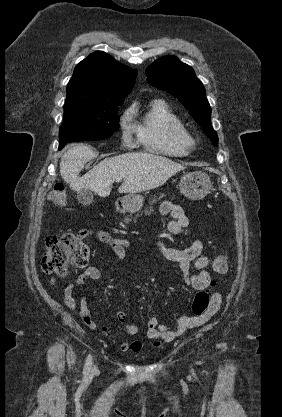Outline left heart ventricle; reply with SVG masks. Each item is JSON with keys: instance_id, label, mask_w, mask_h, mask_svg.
<instances>
[{"instance_id": "left-heart-ventricle-1", "label": "left heart ventricle", "mask_w": 282, "mask_h": 417, "mask_svg": "<svg viewBox=\"0 0 282 417\" xmlns=\"http://www.w3.org/2000/svg\"><path fill=\"white\" fill-rule=\"evenodd\" d=\"M165 130L166 131H170L171 130V125L170 124H166L165 125Z\"/></svg>"}]
</instances>
